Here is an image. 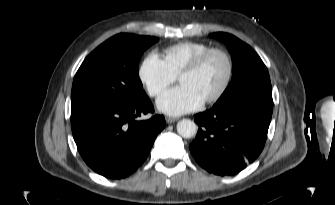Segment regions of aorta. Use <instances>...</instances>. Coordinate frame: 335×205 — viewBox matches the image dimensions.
Listing matches in <instances>:
<instances>
[{
  "label": "aorta",
  "instance_id": "1",
  "mask_svg": "<svg viewBox=\"0 0 335 205\" xmlns=\"http://www.w3.org/2000/svg\"><path fill=\"white\" fill-rule=\"evenodd\" d=\"M177 132L183 138H191L197 133V125L190 119H182L177 124Z\"/></svg>",
  "mask_w": 335,
  "mask_h": 205
}]
</instances>
